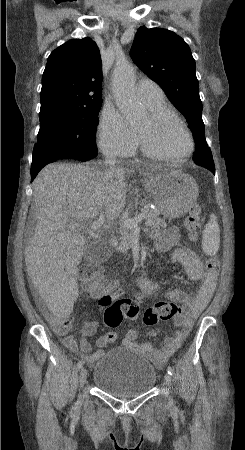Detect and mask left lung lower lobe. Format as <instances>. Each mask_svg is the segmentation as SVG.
<instances>
[{
  "instance_id": "obj_1",
  "label": "left lung lower lobe",
  "mask_w": 245,
  "mask_h": 450,
  "mask_svg": "<svg viewBox=\"0 0 245 450\" xmlns=\"http://www.w3.org/2000/svg\"><path fill=\"white\" fill-rule=\"evenodd\" d=\"M207 154H212L211 150L208 148V146L196 147L194 157L196 159V158H199V156H201V155L203 157V156H206ZM201 166H204V167L208 168L209 170H211L215 174V166H214L213 158L211 159L209 164H205V165H201Z\"/></svg>"
}]
</instances>
